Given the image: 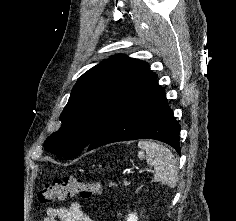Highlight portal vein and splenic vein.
Here are the masks:
<instances>
[{
    "label": "portal vein and splenic vein",
    "mask_w": 236,
    "mask_h": 221,
    "mask_svg": "<svg viewBox=\"0 0 236 221\" xmlns=\"http://www.w3.org/2000/svg\"><path fill=\"white\" fill-rule=\"evenodd\" d=\"M139 172H140V173L144 172V169H140ZM125 183H127V182H125ZM126 185H127V184H126Z\"/></svg>",
    "instance_id": "obj_1"
}]
</instances>
